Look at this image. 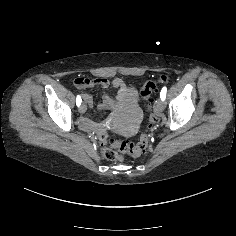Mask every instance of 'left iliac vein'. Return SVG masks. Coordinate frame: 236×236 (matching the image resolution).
I'll return each instance as SVG.
<instances>
[{
  "mask_svg": "<svg viewBox=\"0 0 236 236\" xmlns=\"http://www.w3.org/2000/svg\"><path fill=\"white\" fill-rule=\"evenodd\" d=\"M165 108V104L162 99H158L155 104V110L156 111H163Z\"/></svg>",
  "mask_w": 236,
  "mask_h": 236,
  "instance_id": "left-iliac-vein-1",
  "label": "left iliac vein"
}]
</instances>
